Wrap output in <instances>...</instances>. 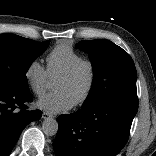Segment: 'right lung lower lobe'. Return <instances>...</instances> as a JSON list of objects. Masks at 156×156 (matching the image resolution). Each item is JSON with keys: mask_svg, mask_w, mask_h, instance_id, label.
<instances>
[{"mask_svg": "<svg viewBox=\"0 0 156 156\" xmlns=\"http://www.w3.org/2000/svg\"><path fill=\"white\" fill-rule=\"evenodd\" d=\"M30 101L29 88L0 86V156H9L25 126L41 117V111L25 109V102ZM18 106L22 107L20 111L15 110Z\"/></svg>", "mask_w": 156, "mask_h": 156, "instance_id": "obj_1", "label": "right lung lower lobe"}]
</instances>
